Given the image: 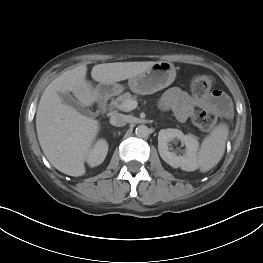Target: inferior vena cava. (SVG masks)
<instances>
[{
  "instance_id": "1",
  "label": "inferior vena cava",
  "mask_w": 263,
  "mask_h": 263,
  "mask_svg": "<svg viewBox=\"0 0 263 263\" xmlns=\"http://www.w3.org/2000/svg\"><path fill=\"white\" fill-rule=\"evenodd\" d=\"M110 124L116 127L126 125V116L121 113H113L109 120Z\"/></svg>"
}]
</instances>
